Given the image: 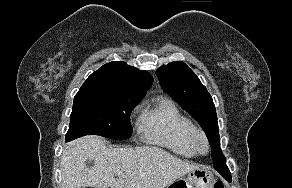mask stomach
Returning a JSON list of instances; mask_svg holds the SVG:
<instances>
[{
    "mask_svg": "<svg viewBox=\"0 0 292 188\" xmlns=\"http://www.w3.org/2000/svg\"><path fill=\"white\" fill-rule=\"evenodd\" d=\"M215 179L209 169L199 167L189 173L187 177L179 178L167 188H214Z\"/></svg>",
    "mask_w": 292,
    "mask_h": 188,
    "instance_id": "obj_1",
    "label": "stomach"
}]
</instances>
